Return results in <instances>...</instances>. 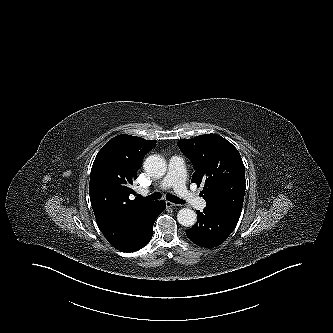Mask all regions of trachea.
I'll list each match as a JSON object with an SVG mask.
<instances>
[{"label": "trachea", "mask_w": 333, "mask_h": 333, "mask_svg": "<svg viewBox=\"0 0 333 333\" xmlns=\"http://www.w3.org/2000/svg\"><path fill=\"white\" fill-rule=\"evenodd\" d=\"M140 197L144 200H149L150 201V200L160 199L162 197V195L160 193L156 192V193H153V194H151L147 197H142V196H140ZM166 198H167L168 201H170L172 203H176V204H184L185 203L182 199H180L176 196H173L171 194H167Z\"/></svg>", "instance_id": "1"}]
</instances>
